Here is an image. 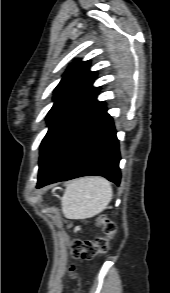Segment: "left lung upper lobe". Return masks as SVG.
<instances>
[{
	"label": "left lung upper lobe",
	"instance_id": "1",
	"mask_svg": "<svg viewBox=\"0 0 170 293\" xmlns=\"http://www.w3.org/2000/svg\"><path fill=\"white\" fill-rule=\"evenodd\" d=\"M89 61L69 66L55 89L54 105L47 115L48 132L40 147L38 176L54 162L79 129L103 106L96 100L99 87H92L95 72Z\"/></svg>",
	"mask_w": 170,
	"mask_h": 293
}]
</instances>
